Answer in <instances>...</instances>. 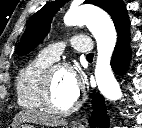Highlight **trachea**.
<instances>
[{
    "label": "trachea",
    "mask_w": 142,
    "mask_h": 128,
    "mask_svg": "<svg viewBox=\"0 0 142 128\" xmlns=\"http://www.w3.org/2000/svg\"><path fill=\"white\" fill-rule=\"evenodd\" d=\"M87 58H93V53H89V54L87 55Z\"/></svg>",
    "instance_id": "obj_1"
}]
</instances>
